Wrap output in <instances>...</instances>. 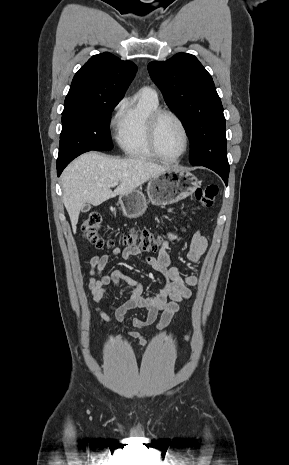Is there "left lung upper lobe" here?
Returning a JSON list of instances; mask_svg holds the SVG:
<instances>
[{
  "label": "left lung upper lobe",
  "mask_w": 289,
  "mask_h": 465,
  "mask_svg": "<svg viewBox=\"0 0 289 465\" xmlns=\"http://www.w3.org/2000/svg\"><path fill=\"white\" fill-rule=\"evenodd\" d=\"M167 105L179 116L190 140V163L229 168L226 122L211 75L191 54L148 64Z\"/></svg>",
  "instance_id": "obj_1"
}]
</instances>
